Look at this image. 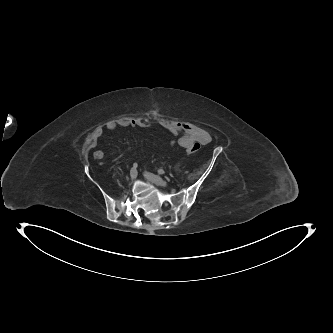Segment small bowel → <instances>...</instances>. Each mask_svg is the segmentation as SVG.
Returning a JSON list of instances; mask_svg holds the SVG:
<instances>
[{
    "label": "small bowel",
    "mask_w": 333,
    "mask_h": 333,
    "mask_svg": "<svg viewBox=\"0 0 333 333\" xmlns=\"http://www.w3.org/2000/svg\"><path fill=\"white\" fill-rule=\"evenodd\" d=\"M160 125L170 134L177 137L170 142L172 147L178 145L189 153H191V147L194 143L206 145L211 142L210 134L193 123H182L173 120H162L160 122ZM117 127L147 128L149 127V122L140 118H122L117 121H109L106 124V128L108 130H114ZM102 134L103 129L100 127L96 128L93 131L88 142V146L90 149H95L97 147L98 141L101 138ZM93 157L96 160H101L104 158V153L101 150H95L93 152Z\"/></svg>",
    "instance_id": "obj_1"
}]
</instances>
